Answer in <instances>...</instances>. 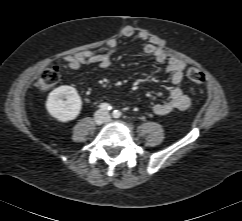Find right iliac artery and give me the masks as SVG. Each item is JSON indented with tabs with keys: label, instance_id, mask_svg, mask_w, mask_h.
Masks as SVG:
<instances>
[{
	"label": "right iliac artery",
	"instance_id": "right-iliac-artery-1",
	"mask_svg": "<svg viewBox=\"0 0 242 221\" xmlns=\"http://www.w3.org/2000/svg\"><path fill=\"white\" fill-rule=\"evenodd\" d=\"M99 107L103 111H110L112 109V106L108 103H102Z\"/></svg>",
	"mask_w": 242,
	"mask_h": 221
}]
</instances>
